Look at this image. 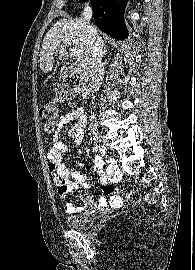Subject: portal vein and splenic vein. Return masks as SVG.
<instances>
[{
  "instance_id": "obj_1",
  "label": "portal vein and splenic vein",
  "mask_w": 195,
  "mask_h": 270,
  "mask_svg": "<svg viewBox=\"0 0 195 270\" xmlns=\"http://www.w3.org/2000/svg\"><path fill=\"white\" fill-rule=\"evenodd\" d=\"M64 43H65L66 45H71V41L68 40V39L64 40ZM70 54H71V56H73V57H79L80 51L77 50V49H72Z\"/></svg>"
}]
</instances>
